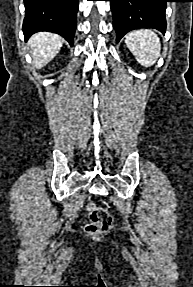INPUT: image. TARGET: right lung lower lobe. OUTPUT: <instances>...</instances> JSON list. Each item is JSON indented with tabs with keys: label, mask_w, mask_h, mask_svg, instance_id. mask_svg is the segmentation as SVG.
<instances>
[{
	"label": "right lung lower lobe",
	"mask_w": 193,
	"mask_h": 287,
	"mask_svg": "<svg viewBox=\"0 0 193 287\" xmlns=\"http://www.w3.org/2000/svg\"><path fill=\"white\" fill-rule=\"evenodd\" d=\"M23 33L27 40L39 31L63 36L73 45L77 23L78 0H24Z\"/></svg>",
	"instance_id": "obj_1"
}]
</instances>
